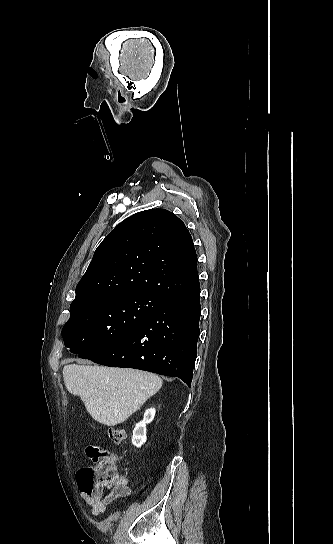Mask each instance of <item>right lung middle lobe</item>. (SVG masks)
I'll use <instances>...</instances> for the list:
<instances>
[{
	"label": "right lung middle lobe",
	"mask_w": 333,
	"mask_h": 544,
	"mask_svg": "<svg viewBox=\"0 0 333 544\" xmlns=\"http://www.w3.org/2000/svg\"><path fill=\"white\" fill-rule=\"evenodd\" d=\"M165 299L147 293L97 296L71 303L62 329L66 347L82 358L136 329Z\"/></svg>",
	"instance_id": "1"
}]
</instances>
